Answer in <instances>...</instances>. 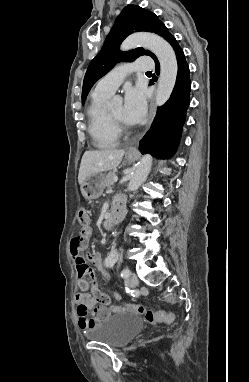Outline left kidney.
<instances>
[{
	"instance_id": "1",
	"label": "left kidney",
	"mask_w": 249,
	"mask_h": 382,
	"mask_svg": "<svg viewBox=\"0 0 249 382\" xmlns=\"http://www.w3.org/2000/svg\"><path fill=\"white\" fill-rule=\"evenodd\" d=\"M118 258L119 257L117 254H109L108 260H94L93 266L94 267H118L119 266Z\"/></svg>"
}]
</instances>
